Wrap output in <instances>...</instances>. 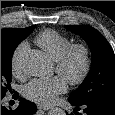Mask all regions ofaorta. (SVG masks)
<instances>
[{"mask_svg":"<svg viewBox=\"0 0 115 115\" xmlns=\"http://www.w3.org/2000/svg\"><path fill=\"white\" fill-rule=\"evenodd\" d=\"M23 68L29 75L43 77L49 71V62L43 52L32 50L23 58ZM48 115H66V113L61 108L55 107L48 112Z\"/></svg>","mask_w":115,"mask_h":115,"instance_id":"1","label":"aorta"}]
</instances>
